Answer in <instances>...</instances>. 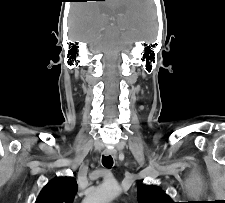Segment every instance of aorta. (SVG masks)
<instances>
[{"instance_id":"aorta-1","label":"aorta","mask_w":225,"mask_h":203,"mask_svg":"<svg viewBox=\"0 0 225 203\" xmlns=\"http://www.w3.org/2000/svg\"><path fill=\"white\" fill-rule=\"evenodd\" d=\"M119 192L120 189L116 182H105L92 191L83 203H109Z\"/></svg>"}]
</instances>
